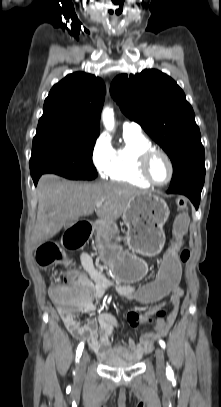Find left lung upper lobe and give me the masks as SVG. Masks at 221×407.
I'll return each mask as SVG.
<instances>
[{
    "mask_svg": "<svg viewBox=\"0 0 221 407\" xmlns=\"http://www.w3.org/2000/svg\"><path fill=\"white\" fill-rule=\"evenodd\" d=\"M110 92L122 112L140 124L168 154L173 165L171 183L204 165V147L194 111L171 77L155 69L121 74L111 83Z\"/></svg>",
    "mask_w": 221,
    "mask_h": 407,
    "instance_id": "left-lung-upper-lobe-1",
    "label": "left lung upper lobe"
}]
</instances>
